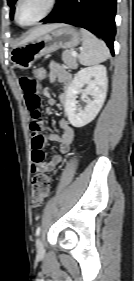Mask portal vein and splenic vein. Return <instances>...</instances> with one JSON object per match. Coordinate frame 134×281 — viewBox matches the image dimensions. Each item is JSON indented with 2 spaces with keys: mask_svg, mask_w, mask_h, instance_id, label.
I'll list each match as a JSON object with an SVG mask.
<instances>
[{
  "mask_svg": "<svg viewBox=\"0 0 134 281\" xmlns=\"http://www.w3.org/2000/svg\"><path fill=\"white\" fill-rule=\"evenodd\" d=\"M71 55H72V56H76V55H77V52H76V51H71Z\"/></svg>",
  "mask_w": 134,
  "mask_h": 281,
  "instance_id": "portal-vein-and-splenic-vein-1",
  "label": "portal vein and splenic vein"
}]
</instances>
